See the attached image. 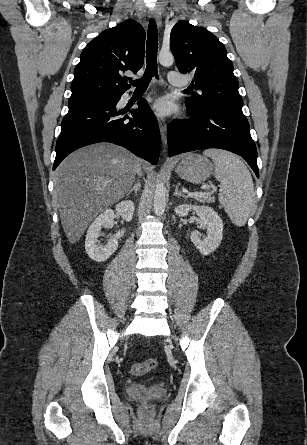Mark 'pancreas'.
<instances>
[{"label":"pancreas","instance_id":"obj_1","mask_svg":"<svg viewBox=\"0 0 307 445\" xmlns=\"http://www.w3.org/2000/svg\"><path fill=\"white\" fill-rule=\"evenodd\" d=\"M200 202H215V196H210V194H205V196H195Z\"/></svg>","mask_w":307,"mask_h":445}]
</instances>
